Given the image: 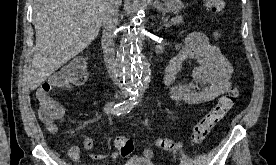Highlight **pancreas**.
Masks as SVG:
<instances>
[{
  "label": "pancreas",
  "mask_w": 276,
  "mask_h": 165,
  "mask_svg": "<svg viewBox=\"0 0 276 165\" xmlns=\"http://www.w3.org/2000/svg\"><path fill=\"white\" fill-rule=\"evenodd\" d=\"M182 22V17H176L172 19V24L177 25Z\"/></svg>",
  "instance_id": "pancreas-1"
}]
</instances>
